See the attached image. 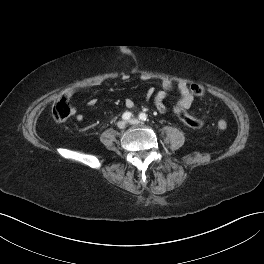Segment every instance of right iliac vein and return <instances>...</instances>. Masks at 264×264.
<instances>
[{
  "instance_id": "1",
  "label": "right iliac vein",
  "mask_w": 264,
  "mask_h": 264,
  "mask_svg": "<svg viewBox=\"0 0 264 264\" xmlns=\"http://www.w3.org/2000/svg\"><path fill=\"white\" fill-rule=\"evenodd\" d=\"M119 129H124L126 127V122L125 121H120L117 124Z\"/></svg>"
}]
</instances>
